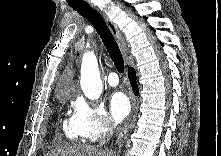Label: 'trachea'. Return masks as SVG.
<instances>
[{"instance_id":"1","label":"trachea","mask_w":221,"mask_h":156,"mask_svg":"<svg viewBox=\"0 0 221 156\" xmlns=\"http://www.w3.org/2000/svg\"><path fill=\"white\" fill-rule=\"evenodd\" d=\"M73 1L75 2H68V4L73 9H75L80 15H82L89 22H91V24L94 26V28L100 35V38L102 39V42L104 43V46L107 49V52L109 53L112 61L114 62L116 69L119 73H124L125 66L121 51L104 19L96 10L91 8L87 2L83 0Z\"/></svg>"}]
</instances>
